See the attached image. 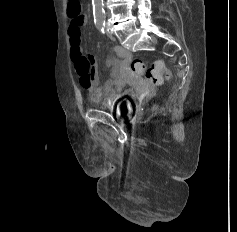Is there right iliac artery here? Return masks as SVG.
<instances>
[{"mask_svg": "<svg viewBox=\"0 0 237 232\" xmlns=\"http://www.w3.org/2000/svg\"><path fill=\"white\" fill-rule=\"evenodd\" d=\"M97 28H98V30H99L101 33L104 34V31H105V25H103V24H98V25H97Z\"/></svg>", "mask_w": 237, "mask_h": 232, "instance_id": "1", "label": "right iliac artery"}]
</instances>
